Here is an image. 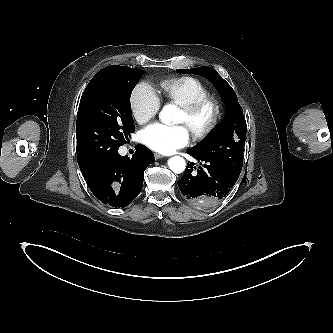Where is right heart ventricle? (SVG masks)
<instances>
[{
    "instance_id": "obj_1",
    "label": "right heart ventricle",
    "mask_w": 333,
    "mask_h": 333,
    "mask_svg": "<svg viewBox=\"0 0 333 333\" xmlns=\"http://www.w3.org/2000/svg\"><path fill=\"white\" fill-rule=\"evenodd\" d=\"M164 98L178 106H184L209 96L206 85L197 78L182 76L161 82Z\"/></svg>"
}]
</instances>
